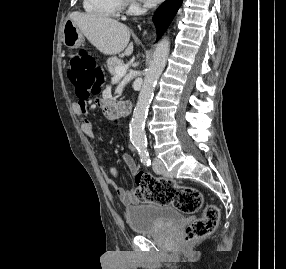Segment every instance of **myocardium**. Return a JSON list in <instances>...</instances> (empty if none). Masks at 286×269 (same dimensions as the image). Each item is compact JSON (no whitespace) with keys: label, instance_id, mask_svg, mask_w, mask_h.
Wrapping results in <instances>:
<instances>
[{"label":"myocardium","instance_id":"obj_1","mask_svg":"<svg viewBox=\"0 0 286 269\" xmlns=\"http://www.w3.org/2000/svg\"><path fill=\"white\" fill-rule=\"evenodd\" d=\"M120 1L122 2L123 6L127 5L130 2V0H120Z\"/></svg>","mask_w":286,"mask_h":269}]
</instances>
